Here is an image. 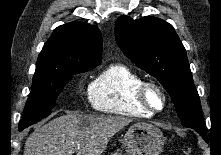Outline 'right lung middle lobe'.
<instances>
[{
  "label": "right lung middle lobe",
  "instance_id": "1",
  "mask_svg": "<svg viewBox=\"0 0 221 155\" xmlns=\"http://www.w3.org/2000/svg\"><path fill=\"white\" fill-rule=\"evenodd\" d=\"M97 65H82L68 68L36 67L32 91L28 97L19 130L50 115L59 93L76 73L93 69Z\"/></svg>",
  "mask_w": 221,
  "mask_h": 155
}]
</instances>
